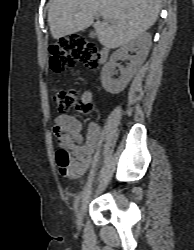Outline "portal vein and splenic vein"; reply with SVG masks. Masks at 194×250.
<instances>
[{"label": "portal vein and splenic vein", "instance_id": "obj_1", "mask_svg": "<svg viewBox=\"0 0 194 250\" xmlns=\"http://www.w3.org/2000/svg\"><path fill=\"white\" fill-rule=\"evenodd\" d=\"M95 16L99 17V16H100V14H95Z\"/></svg>", "mask_w": 194, "mask_h": 250}]
</instances>
